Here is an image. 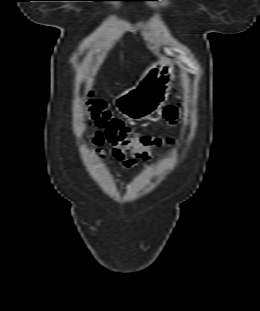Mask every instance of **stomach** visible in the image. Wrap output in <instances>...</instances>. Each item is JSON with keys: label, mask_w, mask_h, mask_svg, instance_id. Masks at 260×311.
Wrapping results in <instances>:
<instances>
[{"label": "stomach", "mask_w": 260, "mask_h": 311, "mask_svg": "<svg viewBox=\"0 0 260 311\" xmlns=\"http://www.w3.org/2000/svg\"><path fill=\"white\" fill-rule=\"evenodd\" d=\"M174 62L161 58L150 66L138 83L114 99L117 111L130 120H142L162 107L174 77Z\"/></svg>", "instance_id": "stomach-1"}]
</instances>
